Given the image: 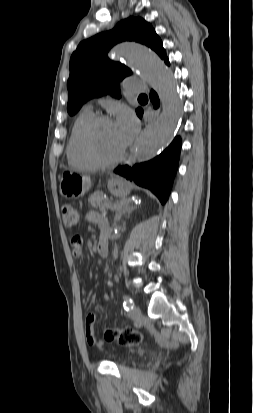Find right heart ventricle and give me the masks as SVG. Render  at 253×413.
<instances>
[{"label":"right heart ventricle","mask_w":253,"mask_h":413,"mask_svg":"<svg viewBox=\"0 0 253 413\" xmlns=\"http://www.w3.org/2000/svg\"><path fill=\"white\" fill-rule=\"evenodd\" d=\"M94 117L90 109H84L73 122L66 146L68 163L82 169L97 167L86 155L82 146V132L86 124Z\"/></svg>","instance_id":"right-heart-ventricle-1"}]
</instances>
